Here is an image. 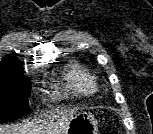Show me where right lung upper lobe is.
I'll use <instances>...</instances> for the list:
<instances>
[{"instance_id":"right-lung-upper-lobe-1","label":"right lung upper lobe","mask_w":153,"mask_h":134,"mask_svg":"<svg viewBox=\"0 0 153 134\" xmlns=\"http://www.w3.org/2000/svg\"><path fill=\"white\" fill-rule=\"evenodd\" d=\"M22 63L13 55H6L0 64V77L23 76Z\"/></svg>"}]
</instances>
